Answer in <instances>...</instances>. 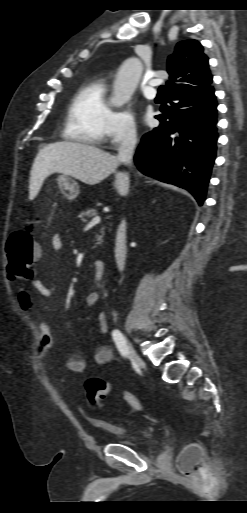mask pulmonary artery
Returning <instances> with one entry per match:
<instances>
[{
	"instance_id": "pulmonary-artery-1",
	"label": "pulmonary artery",
	"mask_w": 247,
	"mask_h": 513,
	"mask_svg": "<svg viewBox=\"0 0 247 513\" xmlns=\"http://www.w3.org/2000/svg\"><path fill=\"white\" fill-rule=\"evenodd\" d=\"M159 84V80L152 79L149 81L148 85H146L143 89V94L148 99H154L156 97L155 86Z\"/></svg>"
}]
</instances>
